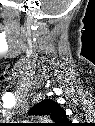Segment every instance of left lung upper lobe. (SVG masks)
Masks as SVG:
<instances>
[{
  "instance_id": "obj_1",
  "label": "left lung upper lobe",
  "mask_w": 95,
  "mask_h": 126,
  "mask_svg": "<svg viewBox=\"0 0 95 126\" xmlns=\"http://www.w3.org/2000/svg\"><path fill=\"white\" fill-rule=\"evenodd\" d=\"M30 114L49 116L55 122L52 126H63L68 121L65 110L56 101L49 99L36 104Z\"/></svg>"
}]
</instances>
